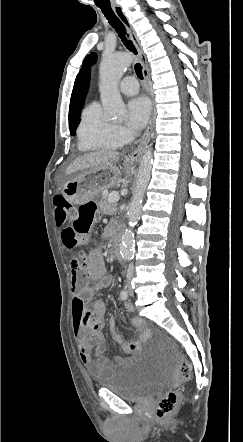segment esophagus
Wrapping results in <instances>:
<instances>
[{
	"label": "esophagus",
	"instance_id": "1",
	"mask_svg": "<svg viewBox=\"0 0 243 442\" xmlns=\"http://www.w3.org/2000/svg\"><path fill=\"white\" fill-rule=\"evenodd\" d=\"M113 10L115 12V14L117 15V17L122 21V23L124 24L126 31H127V35L129 36V38L132 40V42L134 43L137 52L139 54L140 60H141V64L143 67V76L145 81L149 84L150 82V75H149V68H148V64H147V59L146 56L142 50V47L135 35L134 30L131 27V24L127 18V16L125 15L123 9L121 6L119 5H115L113 6ZM149 94L151 96V101H152V111H151V116L149 119V123L147 125V128L144 132V134L142 135V137L139 139L138 141V145L137 148L131 153L130 155V160L131 161H137L141 155L143 154V152L145 151L147 144L150 140V133L152 131V125H153V115H154V106H153V95L152 92L149 90Z\"/></svg>",
	"mask_w": 243,
	"mask_h": 442
}]
</instances>
